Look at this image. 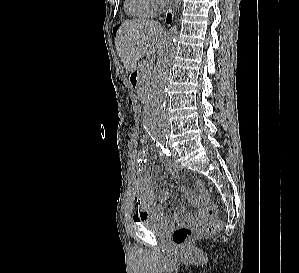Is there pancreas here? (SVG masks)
Listing matches in <instances>:
<instances>
[{"mask_svg": "<svg viewBox=\"0 0 299 273\" xmlns=\"http://www.w3.org/2000/svg\"><path fill=\"white\" fill-rule=\"evenodd\" d=\"M140 71V87L139 90L143 91L147 88L150 78H151V67L145 61L141 62L139 65Z\"/></svg>", "mask_w": 299, "mask_h": 273, "instance_id": "1", "label": "pancreas"}]
</instances>
